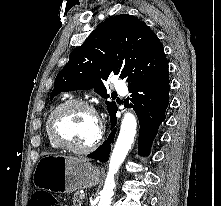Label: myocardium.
Segmentation results:
<instances>
[{
  "label": "myocardium",
  "mask_w": 221,
  "mask_h": 206,
  "mask_svg": "<svg viewBox=\"0 0 221 206\" xmlns=\"http://www.w3.org/2000/svg\"><path fill=\"white\" fill-rule=\"evenodd\" d=\"M73 105H78L87 108L88 110L91 111V113L94 115L96 122H97V134L95 139L91 144L85 147H74L64 141H62L55 133L54 131V126H53V121L55 116L62 111L63 109L73 106ZM47 132L49 135L50 140L59 148L64 149L66 151L75 153V154H88L93 152L101 143L102 137H103V126L101 119L99 117L98 111L96 107L88 100L86 99H80V98H73V99H68L58 106H56L50 115L48 116L47 119Z\"/></svg>",
  "instance_id": "obj_1"
}]
</instances>
